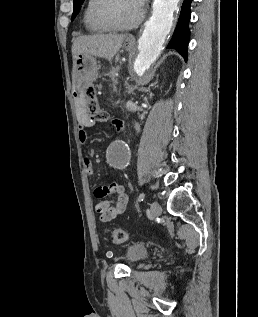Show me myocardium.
<instances>
[{"label":"myocardium","mask_w":258,"mask_h":317,"mask_svg":"<svg viewBox=\"0 0 258 317\" xmlns=\"http://www.w3.org/2000/svg\"><path fill=\"white\" fill-rule=\"evenodd\" d=\"M120 2L131 3L136 7L138 11L136 22L131 27L123 28V27L117 26L106 14L107 10L110 7ZM94 17L98 23L107 27L110 30H113L116 32H127V31H132L136 29L140 25V23L142 22L144 18V10L137 0H100L99 3L95 7Z\"/></svg>","instance_id":"obj_1"}]
</instances>
